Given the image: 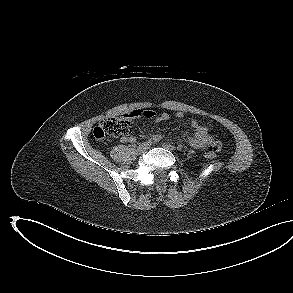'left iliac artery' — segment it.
Masks as SVG:
<instances>
[{
    "label": "left iliac artery",
    "instance_id": "left-iliac-artery-1",
    "mask_svg": "<svg viewBox=\"0 0 293 293\" xmlns=\"http://www.w3.org/2000/svg\"><path fill=\"white\" fill-rule=\"evenodd\" d=\"M177 149H178L179 151H181V150L183 149V145L179 144V145L177 146Z\"/></svg>",
    "mask_w": 293,
    "mask_h": 293
}]
</instances>
